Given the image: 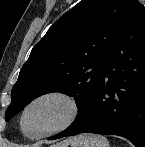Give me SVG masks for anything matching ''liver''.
Returning a JSON list of instances; mask_svg holds the SVG:
<instances>
[{"label":"liver","instance_id":"obj_1","mask_svg":"<svg viewBox=\"0 0 145 147\" xmlns=\"http://www.w3.org/2000/svg\"><path fill=\"white\" fill-rule=\"evenodd\" d=\"M76 138H72V139H69V140L64 141L62 143H59V144L55 145L54 147H67L69 144L73 145L76 141Z\"/></svg>","mask_w":145,"mask_h":147}]
</instances>
